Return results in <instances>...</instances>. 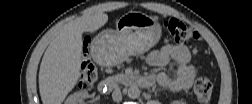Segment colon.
<instances>
[{
  "label": "colon",
  "instance_id": "5ec220e1",
  "mask_svg": "<svg viewBox=\"0 0 252 104\" xmlns=\"http://www.w3.org/2000/svg\"><path fill=\"white\" fill-rule=\"evenodd\" d=\"M169 37L180 44H189L199 38L197 31L191 29L178 19L171 18L164 22ZM98 79V71L92 61L86 57L82 67L79 87L82 90L89 89ZM194 93L200 102H208L213 93V85L206 77H198L194 82Z\"/></svg>",
  "mask_w": 252,
  "mask_h": 104
}]
</instances>
